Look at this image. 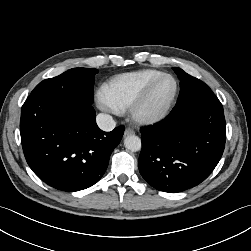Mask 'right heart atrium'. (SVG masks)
<instances>
[{"mask_svg":"<svg viewBox=\"0 0 251 251\" xmlns=\"http://www.w3.org/2000/svg\"><path fill=\"white\" fill-rule=\"evenodd\" d=\"M96 103L98 107L104 111L117 113L119 110L111 103V101L108 99L106 93L104 90H98L96 92Z\"/></svg>","mask_w":251,"mask_h":251,"instance_id":"right-heart-atrium-1","label":"right heart atrium"}]
</instances>
